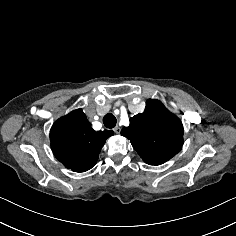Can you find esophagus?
Instances as JSON below:
<instances>
[{"instance_id":"esophagus-1","label":"esophagus","mask_w":236,"mask_h":236,"mask_svg":"<svg viewBox=\"0 0 236 236\" xmlns=\"http://www.w3.org/2000/svg\"><path fill=\"white\" fill-rule=\"evenodd\" d=\"M113 130L117 134H119L121 132V128L119 126H116Z\"/></svg>"}]
</instances>
